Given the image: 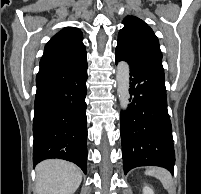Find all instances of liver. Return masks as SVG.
<instances>
[{
    "label": "liver",
    "instance_id": "obj_1",
    "mask_svg": "<svg viewBox=\"0 0 201 194\" xmlns=\"http://www.w3.org/2000/svg\"><path fill=\"white\" fill-rule=\"evenodd\" d=\"M81 181L82 172L73 163L46 160L36 166L35 194H74Z\"/></svg>",
    "mask_w": 201,
    "mask_h": 194
}]
</instances>
